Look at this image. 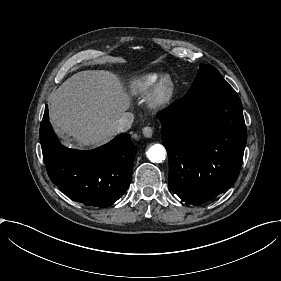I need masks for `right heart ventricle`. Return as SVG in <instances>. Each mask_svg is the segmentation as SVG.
I'll return each instance as SVG.
<instances>
[{"instance_id": "e07e8e85", "label": "right heart ventricle", "mask_w": 281, "mask_h": 281, "mask_svg": "<svg viewBox=\"0 0 281 281\" xmlns=\"http://www.w3.org/2000/svg\"><path fill=\"white\" fill-rule=\"evenodd\" d=\"M159 76L157 74H147L143 76L141 79L134 83V94L138 95L142 91L150 90L155 83L158 81Z\"/></svg>"}]
</instances>
